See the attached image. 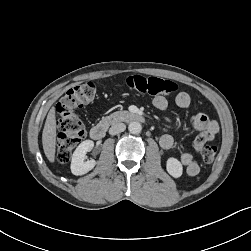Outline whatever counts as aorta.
<instances>
[{
  "instance_id": "1",
  "label": "aorta",
  "mask_w": 251,
  "mask_h": 251,
  "mask_svg": "<svg viewBox=\"0 0 251 251\" xmlns=\"http://www.w3.org/2000/svg\"><path fill=\"white\" fill-rule=\"evenodd\" d=\"M128 130L131 134H139L142 131V126L139 122H130Z\"/></svg>"
}]
</instances>
